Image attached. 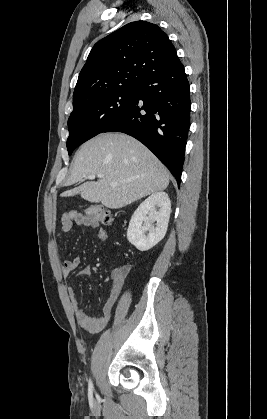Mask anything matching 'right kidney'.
<instances>
[{
    "label": "right kidney",
    "instance_id": "1",
    "mask_svg": "<svg viewBox=\"0 0 267 419\" xmlns=\"http://www.w3.org/2000/svg\"><path fill=\"white\" fill-rule=\"evenodd\" d=\"M170 213L171 202L168 194L165 192L152 194L132 215L127 230L128 241L140 251L151 249L164 238ZM152 222H156L155 227Z\"/></svg>",
    "mask_w": 267,
    "mask_h": 419
}]
</instances>
